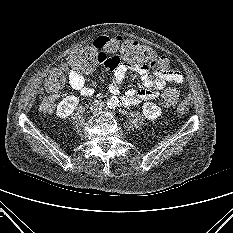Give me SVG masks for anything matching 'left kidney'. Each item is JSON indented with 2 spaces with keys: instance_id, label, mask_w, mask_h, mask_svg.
<instances>
[{
  "instance_id": "left-kidney-1",
  "label": "left kidney",
  "mask_w": 233,
  "mask_h": 233,
  "mask_svg": "<svg viewBox=\"0 0 233 233\" xmlns=\"http://www.w3.org/2000/svg\"><path fill=\"white\" fill-rule=\"evenodd\" d=\"M142 111L144 116L148 120H156L161 114V108L152 102H146L142 106Z\"/></svg>"
}]
</instances>
